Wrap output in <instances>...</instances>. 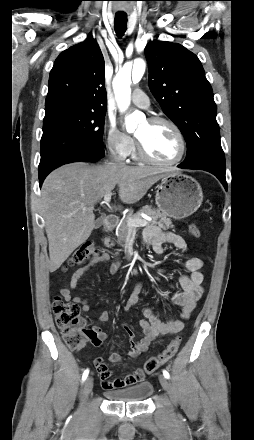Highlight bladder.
Masks as SVG:
<instances>
[{
    "mask_svg": "<svg viewBox=\"0 0 254 440\" xmlns=\"http://www.w3.org/2000/svg\"><path fill=\"white\" fill-rule=\"evenodd\" d=\"M153 392L150 382H140L131 387L113 391H106L105 396L114 401L121 402H140L148 398Z\"/></svg>",
    "mask_w": 254,
    "mask_h": 440,
    "instance_id": "bladder-1",
    "label": "bladder"
}]
</instances>
